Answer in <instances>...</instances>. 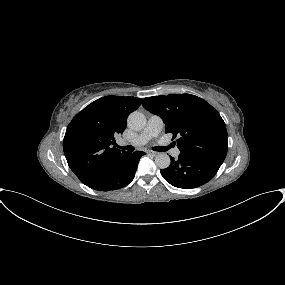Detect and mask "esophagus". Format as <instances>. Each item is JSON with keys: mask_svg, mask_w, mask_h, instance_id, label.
Here are the masks:
<instances>
[{"mask_svg": "<svg viewBox=\"0 0 285 285\" xmlns=\"http://www.w3.org/2000/svg\"><path fill=\"white\" fill-rule=\"evenodd\" d=\"M147 153H148V155H151V156H156L157 155V152H154V151H148Z\"/></svg>", "mask_w": 285, "mask_h": 285, "instance_id": "esophagus-1", "label": "esophagus"}]
</instances>
